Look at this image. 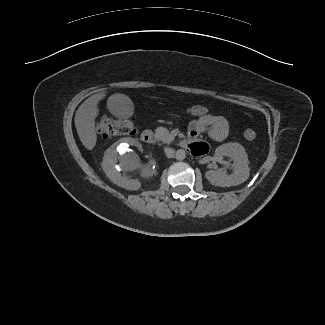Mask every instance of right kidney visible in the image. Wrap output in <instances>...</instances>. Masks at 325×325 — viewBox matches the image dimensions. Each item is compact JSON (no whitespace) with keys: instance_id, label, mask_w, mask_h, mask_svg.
I'll use <instances>...</instances> for the list:
<instances>
[{"instance_id":"ca27d5eb","label":"right kidney","mask_w":325,"mask_h":325,"mask_svg":"<svg viewBox=\"0 0 325 325\" xmlns=\"http://www.w3.org/2000/svg\"><path fill=\"white\" fill-rule=\"evenodd\" d=\"M130 147H135L138 152ZM101 165L114 184L128 190L140 189L141 184H146L155 175L152 163L142 157V145L129 137L112 144L105 151Z\"/></svg>"}]
</instances>
